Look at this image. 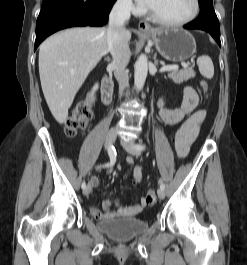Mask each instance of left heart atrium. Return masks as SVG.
<instances>
[{
	"label": "left heart atrium",
	"mask_w": 247,
	"mask_h": 265,
	"mask_svg": "<svg viewBox=\"0 0 247 265\" xmlns=\"http://www.w3.org/2000/svg\"><path fill=\"white\" fill-rule=\"evenodd\" d=\"M141 4L150 7L154 0H138Z\"/></svg>",
	"instance_id": "left-heart-atrium-1"
}]
</instances>
